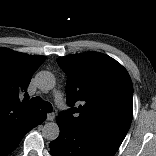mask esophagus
<instances>
[{"label":"esophagus","instance_id":"34e87169","mask_svg":"<svg viewBox=\"0 0 156 156\" xmlns=\"http://www.w3.org/2000/svg\"><path fill=\"white\" fill-rule=\"evenodd\" d=\"M55 118V114L54 113H48L47 114V120L48 121H53Z\"/></svg>","mask_w":156,"mask_h":156}]
</instances>
